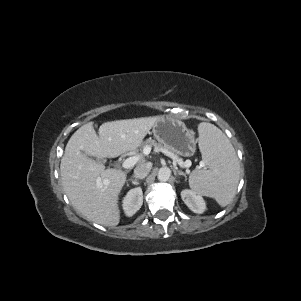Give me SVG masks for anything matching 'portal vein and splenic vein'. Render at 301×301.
<instances>
[{
	"instance_id": "obj_1",
	"label": "portal vein and splenic vein",
	"mask_w": 301,
	"mask_h": 301,
	"mask_svg": "<svg viewBox=\"0 0 301 301\" xmlns=\"http://www.w3.org/2000/svg\"><path fill=\"white\" fill-rule=\"evenodd\" d=\"M159 151L162 152L164 155L170 157L175 164L178 163L183 168L188 169L191 166L190 161L183 162L181 159L177 158L175 155H173L171 152H169L167 150L159 149ZM150 152H151V148L149 146L145 147L143 149L144 155H148ZM139 159H140V157H137V156L129 157L123 162L122 166L125 169L132 168L138 162ZM200 165L203 166V163L201 162Z\"/></svg>"
}]
</instances>
